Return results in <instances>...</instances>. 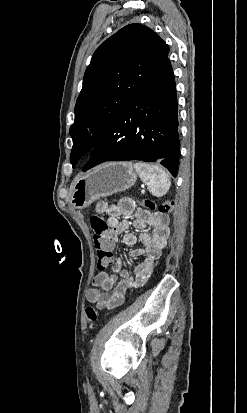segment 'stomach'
<instances>
[{
  "label": "stomach",
  "instance_id": "0dacf381",
  "mask_svg": "<svg viewBox=\"0 0 247 413\" xmlns=\"http://www.w3.org/2000/svg\"><path fill=\"white\" fill-rule=\"evenodd\" d=\"M136 180L137 172L132 162L118 160V162L98 164L88 172L75 176L71 184V207L85 209L98 198L130 188Z\"/></svg>",
  "mask_w": 247,
  "mask_h": 413
}]
</instances>
